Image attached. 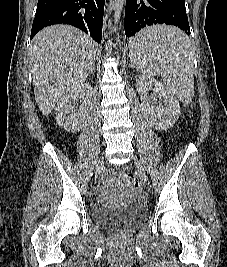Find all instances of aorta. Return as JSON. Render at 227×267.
Listing matches in <instances>:
<instances>
[{
  "label": "aorta",
  "instance_id": "obj_1",
  "mask_svg": "<svg viewBox=\"0 0 227 267\" xmlns=\"http://www.w3.org/2000/svg\"><path fill=\"white\" fill-rule=\"evenodd\" d=\"M125 2H126V0H115V3H114V23H115V26L113 29L114 32H116V30H117L116 25H118V22H119L121 13L123 11Z\"/></svg>",
  "mask_w": 227,
  "mask_h": 267
}]
</instances>
